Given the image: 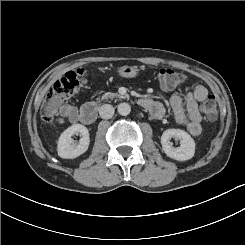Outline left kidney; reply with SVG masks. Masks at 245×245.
<instances>
[{"label": "left kidney", "instance_id": "left-kidney-1", "mask_svg": "<svg viewBox=\"0 0 245 245\" xmlns=\"http://www.w3.org/2000/svg\"><path fill=\"white\" fill-rule=\"evenodd\" d=\"M171 138L180 141V146L173 147ZM161 145L164 153L178 161H187L195 154V140L184 130L167 129L161 136Z\"/></svg>", "mask_w": 245, "mask_h": 245}]
</instances>
